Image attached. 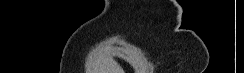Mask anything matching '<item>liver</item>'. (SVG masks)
I'll list each match as a JSON object with an SVG mask.
<instances>
[{"label": "liver", "mask_w": 244, "mask_h": 73, "mask_svg": "<svg viewBox=\"0 0 244 73\" xmlns=\"http://www.w3.org/2000/svg\"><path fill=\"white\" fill-rule=\"evenodd\" d=\"M98 73H123V69L113 59L102 58L98 61Z\"/></svg>", "instance_id": "obj_1"}]
</instances>
